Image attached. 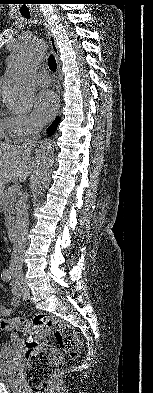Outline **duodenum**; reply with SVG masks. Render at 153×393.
Here are the masks:
<instances>
[{
  "instance_id": "duodenum-1",
  "label": "duodenum",
  "mask_w": 153,
  "mask_h": 393,
  "mask_svg": "<svg viewBox=\"0 0 153 393\" xmlns=\"http://www.w3.org/2000/svg\"><path fill=\"white\" fill-rule=\"evenodd\" d=\"M8 236L10 239L15 240L17 237V228L15 226H10L8 229Z\"/></svg>"
}]
</instances>
